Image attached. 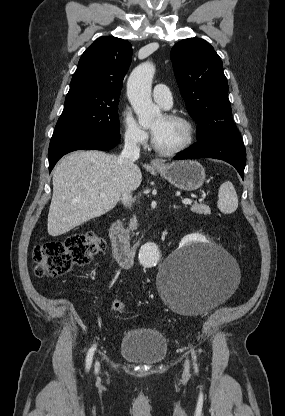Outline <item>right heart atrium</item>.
I'll list each match as a JSON object with an SVG mask.
<instances>
[{"mask_svg":"<svg viewBox=\"0 0 285 416\" xmlns=\"http://www.w3.org/2000/svg\"><path fill=\"white\" fill-rule=\"evenodd\" d=\"M124 136L128 143L138 147L147 145L149 136L146 129L134 118L132 112L125 109L122 113Z\"/></svg>","mask_w":285,"mask_h":416,"instance_id":"obj_1","label":"right heart atrium"}]
</instances>
